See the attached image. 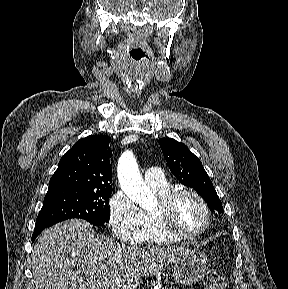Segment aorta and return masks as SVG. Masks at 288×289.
I'll use <instances>...</instances> for the list:
<instances>
[{"label": "aorta", "instance_id": "1", "mask_svg": "<svg viewBox=\"0 0 288 289\" xmlns=\"http://www.w3.org/2000/svg\"><path fill=\"white\" fill-rule=\"evenodd\" d=\"M118 179L125 194L141 208L151 209L156 205L154 194L143 182L131 151L124 152L119 159Z\"/></svg>", "mask_w": 288, "mask_h": 289}]
</instances>
